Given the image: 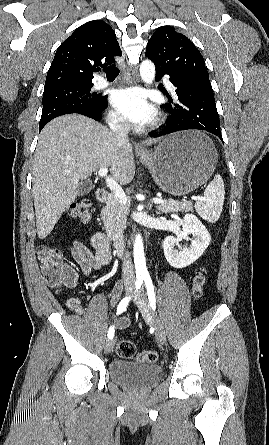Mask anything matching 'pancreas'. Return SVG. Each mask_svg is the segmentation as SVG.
<instances>
[{
    "label": "pancreas",
    "mask_w": 269,
    "mask_h": 445,
    "mask_svg": "<svg viewBox=\"0 0 269 445\" xmlns=\"http://www.w3.org/2000/svg\"><path fill=\"white\" fill-rule=\"evenodd\" d=\"M159 213L171 212H189L193 211L191 202L176 203L172 200H167L163 204L157 206ZM128 215L127 205L121 204L113 194H110L106 199V206L101 211V218L108 237L115 241H123V230L126 228V221Z\"/></svg>",
    "instance_id": "pancreas-1"
}]
</instances>
